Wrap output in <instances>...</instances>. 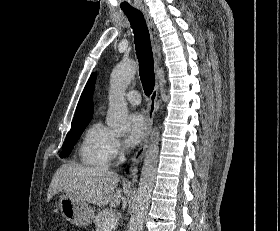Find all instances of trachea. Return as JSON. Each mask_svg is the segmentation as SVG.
Returning a JSON list of instances; mask_svg holds the SVG:
<instances>
[{
  "label": "trachea",
  "mask_w": 280,
  "mask_h": 231,
  "mask_svg": "<svg viewBox=\"0 0 280 231\" xmlns=\"http://www.w3.org/2000/svg\"><path fill=\"white\" fill-rule=\"evenodd\" d=\"M124 13L128 17L135 34V49L139 61L140 79L145 94L149 96L155 87L154 60L149 31L143 14L139 10H129Z\"/></svg>",
  "instance_id": "1"
}]
</instances>
